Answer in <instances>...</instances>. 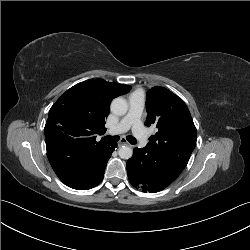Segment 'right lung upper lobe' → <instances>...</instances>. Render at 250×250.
Returning <instances> with one entry per match:
<instances>
[{
	"mask_svg": "<svg viewBox=\"0 0 250 250\" xmlns=\"http://www.w3.org/2000/svg\"><path fill=\"white\" fill-rule=\"evenodd\" d=\"M131 89L125 84L90 79L68 89L51 107L45 125L49 162L59 179L83 189L96 176L104 150L110 145L96 135L106 132L111 101Z\"/></svg>",
	"mask_w": 250,
	"mask_h": 250,
	"instance_id": "cb5924a9",
	"label": "right lung upper lobe"
}]
</instances>
